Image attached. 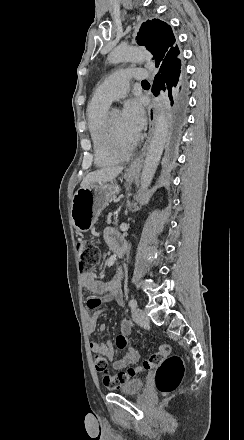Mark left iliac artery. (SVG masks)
Masks as SVG:
<instances>
[{
  "label": "left iliac artery",
  "mask_w": 244,
  "mask_h": 440,
  "mask_svg": "<svg viewBox=\"0 0 244 440\" xmlns=\"http://www.w3.org/2000/svg\"><path fill=\"white\" fill-rule=\"evenodd\" d=\"M128 305H129V307H130L131 309H135V308L137 307V300L134 299V298L131 299V300L129 301Z\"/></svg>",
  "instance_id": "left-iliac-artery-1"
}]
</instances>
